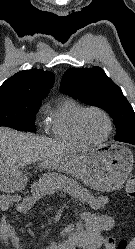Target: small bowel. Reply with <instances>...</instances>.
<instances>
[{"label": "small bowel", "instance_id": "small-bowel-1", "mask_svg": "<svg viewBox=\"0 0 135 249\" xmlns=\"http://www.w3.org/2000/svg\"><path fill=\"white\" fill-rule=\"evenodd\" d=\"M108 197L98 196L92 200L94 209H100L106 206ZM15 207L17 212L23 214L28 210L27 203L20 199L17 195H2L0 196V209L6 211ZM114 225V219L108 214L89 213L85 219V239L88 249L104 247L105 249H115L114 240L105 233ZM0 240L5 246L12 245L15 249H21V242L12 226L7 220L6 215L0 219ZM59 246L52 243L46 249H58Z\"/></svg>", "mask_w": 135, "mask_h": 249}]
</instances>
